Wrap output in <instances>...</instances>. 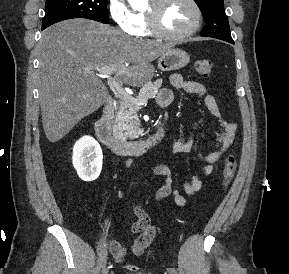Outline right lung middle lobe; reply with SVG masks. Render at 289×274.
Masks as SVG:
<instances>
[{
    "instance_id": "obj_1",
    "label": "right lung middle lobe",
    "mask_w": 289,
    "mask_h": 274,
    "mask_svg": "<svg viewBox=\"0 0 289 274\" xmlns=\"http://www.w3.org/2000/svg\"><path fill=\"white\" fill-rule=\"evenodd\" d=\"M108 0H46L42 29L66 19L86 18L108 24Z\"/></svg>"
}]
</instances>
